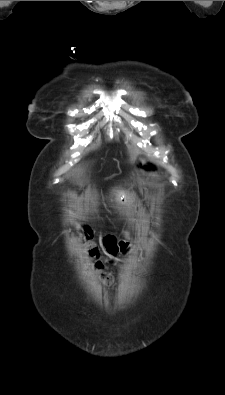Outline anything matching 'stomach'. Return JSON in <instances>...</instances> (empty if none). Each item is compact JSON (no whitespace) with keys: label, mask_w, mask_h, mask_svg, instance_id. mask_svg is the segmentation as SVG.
<instances>
[{"label":"stomach","mask_w":225,"mask_h":395,"mask_svg":"<svg viewBox=\"0 0 225 395\" xmlns=\"http://www.w3.org/2000/svg\"><path fill=\"white\" fill-rule=\"evenodd\" d=\"M137 165L143 172H151L155 169L153 164L145 160H140Z\"/></svg>","instance_id":"1"}]
</instances>
